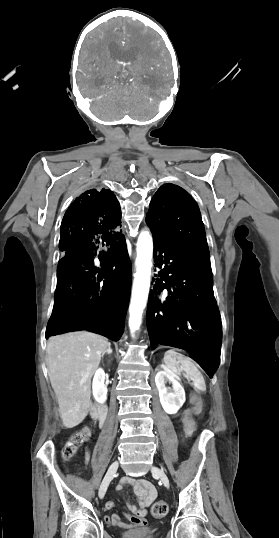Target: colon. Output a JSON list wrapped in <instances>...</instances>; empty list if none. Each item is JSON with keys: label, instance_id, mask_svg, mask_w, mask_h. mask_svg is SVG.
Here are the masks:
<instances>
[{"label": "colon", "instance_id": "1", "mask_svg": "<svg viewBox=\"0 0 279 538\" xmlns=\"http://www.w3.org/2000/svg\"><path fill=\"white\" fill-rule=\"evenodd\" d=\"M193 413H199L202 407L201 399L198 396L193 398ZM185 430L188 436L192 437L195 434V425L191 418L185 420ZM92 436V429L90 427H84L81 430L75 432L67 441L64 449L63 456L65 459H70L76 451ZM152 515L156 518L164 517L168 512V504L164 500L155 502L151 508Z\"/></svg>", "mask_w": 279, "mask_h": 538}]
</instances>
